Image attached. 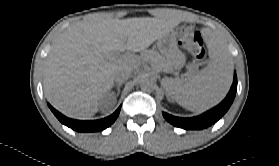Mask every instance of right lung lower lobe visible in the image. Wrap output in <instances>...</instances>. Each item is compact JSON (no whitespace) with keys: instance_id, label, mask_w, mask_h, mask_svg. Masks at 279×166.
I'll list each match as a JSON object with an SVG mask.
<instances>
[{"instance_id":"1","label":"right lung lower lobe","mask_w":279,"mask_h":166,"mask_svg":"<svg viewBox=\"0 0 279 166\" xmlns=\"http://www.w3.org/2000/svg\"><path fill=\"white\" fill-rule=\"evenodd\" d=\"M51 111L55 114V116L62 122L64 125L68 126L69 128L79 131V132H94V131H102L109 127L119 115L121 107H119L112 115L100 119V120H92V121H80V120H73L70 118L65 117L60 112L55 110L51 105H49Z\"/></svg>"}]
</instances>
